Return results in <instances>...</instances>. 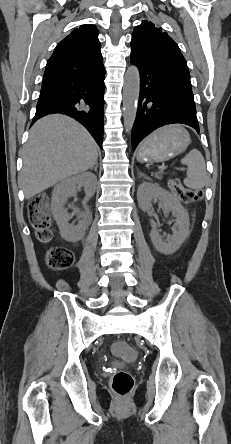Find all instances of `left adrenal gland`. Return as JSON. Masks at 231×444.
<instances>
[{
  "instance_id": "a2214340",
  "label": "left adrenal gland",
  "mask_w": 231,
  "mask_h": 444,
  "mask_svg": "<svg viewBox=\"0 0 231 444\" xmlns=\"http://www.w3.org/2000/svg\"><path fill=\"white\" fill-rule=\"evenodd\" d=\"M139 177L147 178V177L145 176V174H143L142 172H139Z\"/></svg>"
}]
</instances>
